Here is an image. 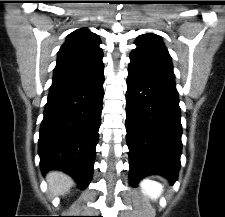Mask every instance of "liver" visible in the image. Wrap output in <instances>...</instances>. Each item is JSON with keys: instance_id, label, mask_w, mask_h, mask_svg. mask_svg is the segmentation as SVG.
Masks as SVG:
<instances>
[{"instance_id": "obj_1", "label": "liver", "mask_w": 225, "mask_h": 217, "mask_svg": "<svg viewBox=\"0 0 225 217\" xmlns=\"http://www.w3.org/2000/svg\"><path fill=\"white\" fill-rule=\"evenodd\" d=\"M46 180L53 195H64L72 186L70 176L59 171H51L47 174Z\"/></svg>"}]
</instances>
